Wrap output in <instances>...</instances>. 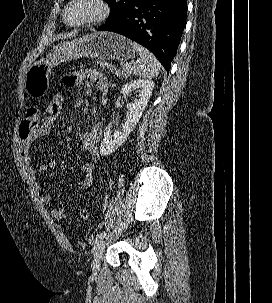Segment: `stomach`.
I'll list each match as a JSON object with an SVG mask.
<instances>
[{
  "mask_svg": "<svg viewBox=\"0 0 272 303\" xmlns=\"http://www.w3.org/2000/svg\"><path fill=\"white\" fill-rule=\"evenodd\" d=\"M133 56L131 41L126 37L110 32L87 34L54 46L45 57L36 61L26 74L25 90L35 98L44 96L52 69L62 62L81 57L128 61Z\"/></svg>",
  "mask_w": 272,
  "mask_h": 303,
  "instance_id": "stomach-1",
  "label": "stomach"
}]
</instances>
